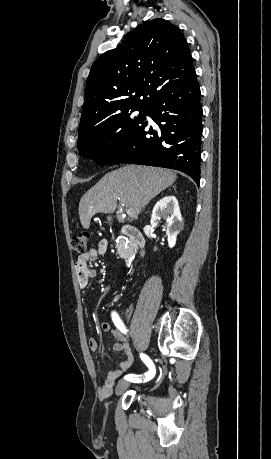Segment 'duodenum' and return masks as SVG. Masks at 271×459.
I'll list each match as a JSON object with an SVG mask.
<instances>
[{
    "label": "duodenum",
    "instance_id": "duodenum-1",
    "mask_svg": "<svg viewBox=\"0 0 271 459\" xmlns=\"http://www.w3.org/2000/svg\"><path fill=\"white\" fill-rule=\"evenodd\" d=\"M121 232L133 243L140 255L143 254L145 239L140 230L131 225H122Z\"/></svg>",
    "mask_w": 271,
    "mask_h": 459
}]
</instances>
